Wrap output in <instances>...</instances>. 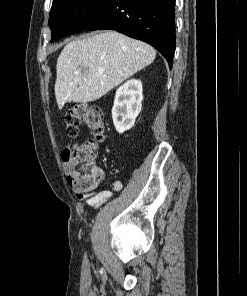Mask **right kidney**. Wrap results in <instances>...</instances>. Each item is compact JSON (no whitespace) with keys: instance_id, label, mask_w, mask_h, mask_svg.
I'll return each instance as SVG.
<instances>
[{"instance_id":"1","label":"right kidney","mask_w":247,"mask_h":296,"mask_svg":"<svg viewBox=\"0 0 247 296\" xmlns=\"http://www.w3.org/2000/svg\"><path fill=\"white\" fill-rule=\"evenodd\" d=\"M142 100L140 80L130 79L116 90L112 119L117 132L123 133L134 126L142 108Z\"/></svg>"}]
</instances>
